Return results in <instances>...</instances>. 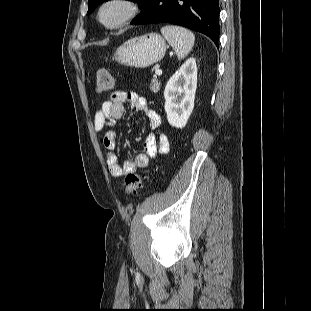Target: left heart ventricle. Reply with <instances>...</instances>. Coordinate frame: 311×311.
<instances>
[{
	"label": "left heart ventricle",
	"mask_w": 311,
	"mask_h": 311,
	"mask_svg": "<svg viewBox=\"0 0 311 311\" xmlns=\"http://www.w3.org/2000/svg\"><path fill=\"white\" fill-rule=\"evenodd\" d=\"M120 13H121V10L119 7H116V6L109 7L104 12V19L107 22H113L119 17Z\"/></svg>",
	"instance_id": "obj_1"
}]
</instances>
